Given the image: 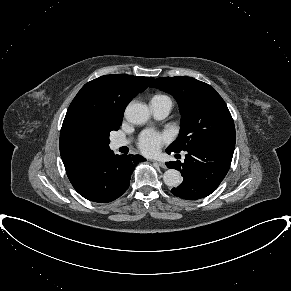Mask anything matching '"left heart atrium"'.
I'll return each instance as SVG.
<instances>
[{"mask_svg":"<svg viewBox=\"0 0 291 291\" xmlns=\"http://www.w3.org/2000/svg\"><path fill=\"white\" fill-rule=\"evenodd\" d=\"M169 137L165 133L154 130H146L141 133L138 141L140 150L147 155L156 154L160 147L168 141Z\"/></svg>","mask_w":291,"mask_h":291,"instance_id":"obj_1","label":"left heart atrium"}]
</instances>
